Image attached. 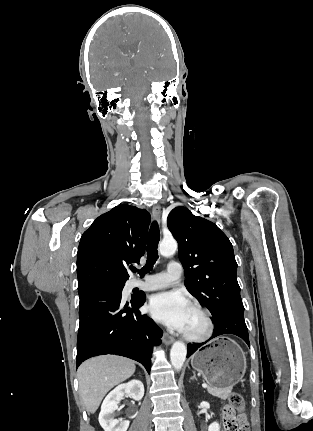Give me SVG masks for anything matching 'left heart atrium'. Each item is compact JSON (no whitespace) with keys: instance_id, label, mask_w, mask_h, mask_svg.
Segmentation results:
<instances>
[{"instance_id":"left-heart-atrium-1","label":"left heart atrium","mask_w":313,"mask_h":431,"mask_svg":"<svg viewBox=\"0 0 313 431\" xmlns=\"http://www.w3.org/2000/svg\"><path fill=\"white\" fill-rule=\"evenodd\" d=\"M191 305L183 293L166 291L154 295L149 312L157 321L184 332Z\"/></svg>"}]
</instances>
